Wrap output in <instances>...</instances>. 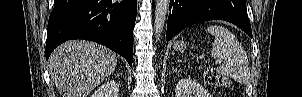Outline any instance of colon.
I'll use <instances>...</instances> for the list:
<instances>
[{
	"label": "colon",
	"mask_w": 302,
	"mask_h": 97,
	"mask_svg": "<svg viewBox=\"0 0 302 97\" xmlns=\"http://www.w3.org/2000/svg\"><path fill=\"white\" fill-rule=\"evenodd\" d=\"M204 79L207 83L212 85H223L227 83V81L213 69L207 70L205 72Z\"/></svg>",
	"instance_id": "1"
}]
</instances>
